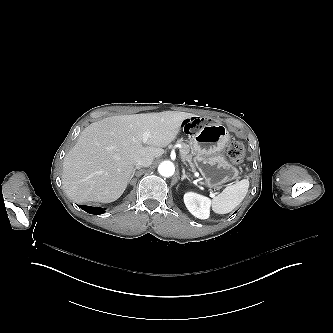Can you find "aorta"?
I'll use <instances>...</instances> for the list:
<instances>
[{
	"label": "aorta",
	"mask_w": 333,
	"mask_h": 333,
	"mask_svg": "<svg viewBox=\"0 0 333 333\" xmlns=\"http://www.w3.org/2000/svg\"><path fill=\"white\" fill-rule=\"evenodd\" d=\"M158 172L163 177H171L175 173L174 164L170 161H165L159 165Z\"/></svg>",
	"instance_id": "obj_1"
}]
</instances>
